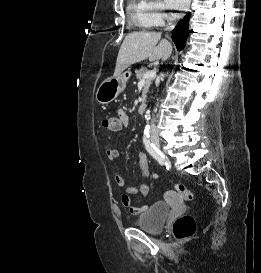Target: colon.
<instances>
[{
  "label": "colon",
  "instance_id": "5ec220e1",
  "mask_svg": "<svg viewBox=\"0 0 261 273\" xmlns=\"http://www.w3.org/2000/svg\"><path fill=\"white\" fill-rule=\"evenodd\" d=\"M104 127L111 131H119L121 129V121L118 116H109L103 121ZM177 194L184 200L193 199V193L183 184L176 186ZM195 220L190 215L178 218L173 224V235L177 240H186L195 233Z\"/></svg>",
  "mask_w": 261,
  "mask_h": 273
}]
</instances>
